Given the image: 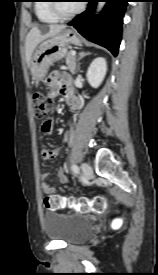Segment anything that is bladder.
Segmentation results:
<instances>
[{"label": "bladder", "mask_w": 158, "mask_h": 275, "mask_svg": "<svg viewBox=\"0 0 158 275\" xmlns=\"http://www.w3.org/2000/svg\"><path fill=\"white\" fill-rule=\"evenodd\" d=\"M43 227L48 238L75 244L87 239L94 225L91 219L79 214L46 211Z\"/></svg>", "instance_id": "bladder-1"}]
</instances>
